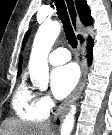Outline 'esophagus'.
<instances>
[{
  "label": "esophagus",
  "mask_w": 112,
  "mask_h": 135,
  "mask_svg": "<svg viewBox=\"0 0 112 135\" xmlns=\"http://www.w3.org/2000/svg\"><path fill=\"white\" fill-rule=\"evenodd\" d=\"M70 2H73V7L74 9H72L70 7ZM66 6H67V10H68V14L71 20V23L73 25V27L80 32L82 30V24L80 22L79 16L77 14L75 5H74V1L73 0H65ZM69 5V7H68ZM86 75H87V63L86 60H84L81 64V77L80 80L78 82V85L76 86V88L74 89V91L69 95V97L64 101V103H62V105L59 107L58 112H57V116L61 115L69 106L70 103L76 101L79 96L82 93V90L85 86V82H86Z\"/></svg>",
  "instance_id": "34e87169"
}]
</instances>
